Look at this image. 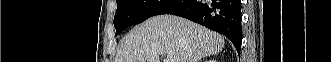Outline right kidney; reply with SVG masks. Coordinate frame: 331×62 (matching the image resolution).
Instances as JSON below:
<instances>
[{
  "label": "right kidney",
  "mask_w": 331,
  "mask_h": 62,
  "mask_svg": "<svg viewBox=\"0 0 331 62\" xmlns=\"http://www.w3.org/2000/svg\"><path fill=\"white\" fill-rule=\"evenodd\" d=\"M209 62H215L214 60H209Z\"/></svg>",
  "instance_id": "ca27d5eb"
}]
</instances>
